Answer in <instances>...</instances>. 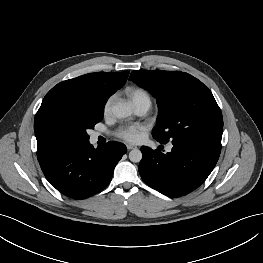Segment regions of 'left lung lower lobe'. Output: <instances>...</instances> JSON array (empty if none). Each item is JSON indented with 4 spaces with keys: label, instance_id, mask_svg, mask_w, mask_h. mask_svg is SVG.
Returning a JSON list of instances; mask_svg holds the SVG:
<instances>
[{
    "label": "left lung lower lobe",
    "instance_id": "left-lung-lower-lobe-1",
    "mask_svg": "<svg viewBox=\"0 0 263 263\" xmlns=\"http://www.w3.org/2000/svg\"><path fill=\"white\" fill-rule=\"evenodd\" d=\"M164 154L143 146L139 173L153 189L171 197L186 195L199 187L214 169L221 140L176 141Z\"/></svg>",
    "mask_w": 263,
    "mask_h": 263
}]
</instances>
